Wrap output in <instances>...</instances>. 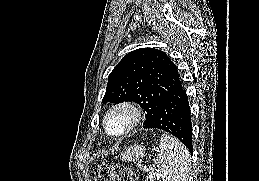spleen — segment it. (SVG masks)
Returning <instances> with one entry per match:
<instances>
[{"label": "spleen", "instance_id": "spleen-1", "mask_svg": "<svg viewBox=\"0 0 259 181\" xmlns=\"http://www.w3.org/2000/svg\"><path fill=\"white\" fill-rule=\"evenodd\" d=\"M157 152L146 181H188L190 154L178 139L163 134Z\"/></svg>", "mask_w": 259, "mask_h": 181}]
</instances>
